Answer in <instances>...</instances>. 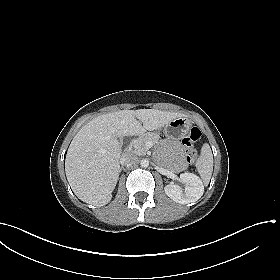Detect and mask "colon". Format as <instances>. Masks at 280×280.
Listing matches in <instances>:
<instances>
[{
    "mask_svg": "<svg viewBox=\"0 0 280 280\" xmlns=\"http://www.w3.org/2000/svg\"><path fill=\"white\" fill-rule=\"evenodd\" d=\"M201 138V131L199 128L194 127L190 130L187 137L183 140L185 147L186 160L188 163H194L198 157V153L194 147L195 143Z\"/></svg>",
    "mask_w": 280,
    "mask_h": 280,
    "instance_id": "1",
    "label": "colon"
}]
</instances>
